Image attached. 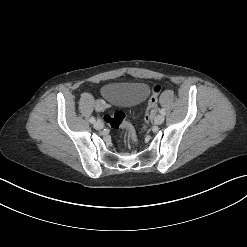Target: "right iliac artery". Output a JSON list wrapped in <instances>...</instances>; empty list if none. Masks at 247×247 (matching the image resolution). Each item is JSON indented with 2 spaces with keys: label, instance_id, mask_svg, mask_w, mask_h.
<instances>
[{
  "label": "right iliac artery",
  "instance_id": "obj_1",
  "mask_svg": "<svg viewBox=\"0 0 247 247\" xmlns=\"http://www.w3.org/2000/svg\"><path fill=\"white\" fill-rule=\"evenodd\" d=\"M90 122H91V123H95V118H94V117H91V118H90Z\"/></svg>",
  "mask_w": 247,
  "mask_h": 247
}]
</instances>
